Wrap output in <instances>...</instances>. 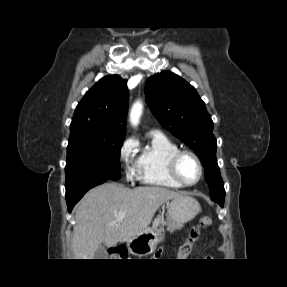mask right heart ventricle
Segmentation results:
<instances>
[{
  "instance_id": "obj_1",
  "label": "right heart ventricle",
  "mask_w": 287,
  "mask_h": 287,
  "mask_svg": "<svg viewBox=\"0 0 287 287\" xmlns=\"http://www.w3.org/2000/svg\"><path fill=\"white\" fill-rule=\"evenodd\" d=\"M180 150L179 146L163 134L150 133L148 145L136 160V173L143 184L179 188L168 168L170 157Z\"/></svg>"
}]
</instances>
